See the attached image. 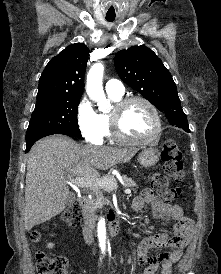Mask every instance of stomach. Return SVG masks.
<instances>
[{
    "mask_svg": "<svg viewBox=\"0 0 221 274\" xmlns=\"http://www.w3.org/2000/svg\"><path fill=\"white\" fill-rule=\"evenodd\" d=\"M159 160V150L155 147H146L138 155V161L143 167L155 165Z\"/></svg>",
    "mask_w": 221,
    "mask_h": 274,
    "instance_id": "1",
    "label": "stomach"
}]
</instances>
